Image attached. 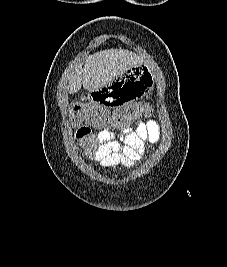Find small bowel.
<instances>
[{
  "label": "small bowel",
  "mask_w": 227,
  "mask_h": 267,
  "mask_svg": "<svg viewBox=\"0 0 227 267\" xmlns=\"http://www.w3.org/2000/svg\"><path fill=\"white\" fill-rule=\"evenodd\" d=\"M83 154L91 161L111 169L117 165L133 167L144 152L146 143H156L160 138V126L154 119H137L135 126L124 130H101L93 134L82 126L76 132Z\"/></svg>",
  "instance_id": "1"
}]
</instances>
